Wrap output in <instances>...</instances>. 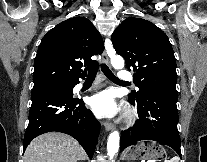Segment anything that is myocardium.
I'll return each instance as SVG.
<instances>
[{"instance_id": "f54148a6", "label": "myocardium", "mask_w": 207, "mask_h": 162, "mask_svg": "<svg viewBox=\"0 0 207 162\" xmlns=\"http://www.w3.org/2000/svg\"><path fill=\"white\" fill-rule=\"evenodd\" d=\"M135 119V113L132 109H127L124 115V122L126 124H131Z\"/></svg>"}]
</instances>
